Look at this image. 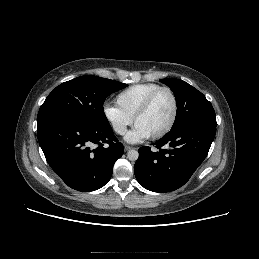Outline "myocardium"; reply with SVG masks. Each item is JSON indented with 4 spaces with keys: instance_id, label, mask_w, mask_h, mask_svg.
I'll list each match as a JSON object with an SVG mask.
<instances>
[{
    "instance_id": "f54148a6",
    "label": "myocardium",
    "mask_w": 259,
    "mask_h": 259,
    "mask_svg": "<svg viewBox=\"0 0 259 259\" xmlns=\"http://www.w3.org/2000/svg\"><path fill=\"white\" fill-rule=\"evenodd\" d=\"M163 91L168 92L172 98L173 113H172V117H171L169 123L161 131L157 132L154 135H151L150 136L151 139H159V138L165 136L173 128V126L177 120L178 110H179L178 99H177L175 92L171 88L166 87V86H161V87L157 88L156 90H154L147 96V98L144 100V102L142 103V105L140 106V108L137 110V112L135 113V115L133 117V123L136 125L137 120L148 112L155 97L160 92H163Z\"/></svg>"
}]
</instances>
